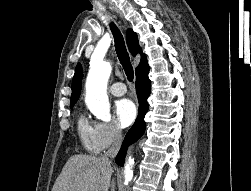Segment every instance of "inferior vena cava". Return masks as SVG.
I'll use <instances>...</instances> for the list:
<instances>
[{"instance_id": "1", "label": "inferior vena cava", "mask_w": 251, "mask_h": 191, "mask_svg": "<svg viewBox=\"0 0 251 191\" xmlns=\"http://www.w3.org/2000/svg\"><path fill=\"white\" fill-rule=\"evenodd\" d=\"M112 137L113 141L110 149L105 151L101 157L102 161H104V163H108V165L111 163L110 157H116L122 143V133L118 123H116L113 127Z\"/></svg>"}]
</instances>
